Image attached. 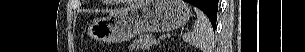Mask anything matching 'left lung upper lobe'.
<instances>
[{
    "label": "left lung upper lobe",
    "mask_w": 305,
    "mask_h": 52,
    "mask_svg": "<svg viewBox=\"0 0 305 52\" xmlns=\"http://www.w3.org/2000/svg\"><path fill=\"white\" fill-rule=\"evenodd\" d=\"M217 11L218 9H206L204 10L205 14L208 16V18L210 19L212 25L216 24V20H217Z\"/></svg>",
    "instance_id": "5c2ea615"
}]
</instances>
